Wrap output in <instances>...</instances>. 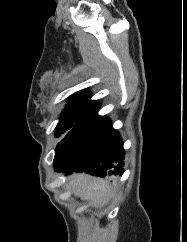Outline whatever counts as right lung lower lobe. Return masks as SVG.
<instances>
[{"label": "right lung lower lobe", "mask_w": 187, "mask_h": 242, "mask_svg": "<svg viewBox=\"0 0 187 242\" xmlns=\"http://www.w3.org/2000/svg\"><path fill=\"white\" fill-rule=\"evenodd\" d=\"M123 142L110 119L99 117L69 132L55 149V171L86 172L106 177L123 174Z\"/></svg>", "instance_id": "1"}]
</instances>
